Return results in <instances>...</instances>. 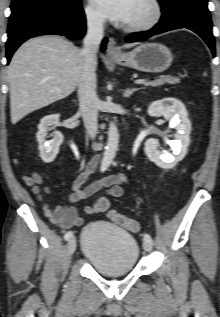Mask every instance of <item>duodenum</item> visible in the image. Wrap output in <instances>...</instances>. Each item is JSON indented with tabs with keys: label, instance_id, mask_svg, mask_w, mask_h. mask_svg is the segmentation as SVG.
I'll use <instances>...</instances> for the list:
<instances>
[{
	"label": "duodenum",
	"instance_id": "1",
	"mask_svg": "<svg viewBox=\"0 0 220 317\" xmlns=\"http://www.w3.org/2000/svg\"><path fill=\"white\" fill-rule=\"evenodd\" d=\"M95 147H97V148H100V147H102L103 146V142H101V141H98V142H96L95 143V145H94Z\"/></svg>",
	"mask_w": 220,
	"mask_h": 317
}]
</instances>
